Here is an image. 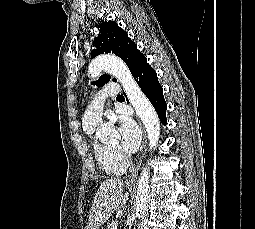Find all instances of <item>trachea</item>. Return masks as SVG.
<instances>
[{"label":"trachea","instance_id":"trachea-1","mask_svg":"<svg viewBox=\"0 0 255 229\" xmlns=\"http://www.w3.org/2000/svg\"><path fill=\"white\" fill-rule=\"evenodd\" d=\"M117 98H123V96H122V95H119V96H117Z\"/></svg>","mask_w":255,"mask_h":229}]
</instances>
